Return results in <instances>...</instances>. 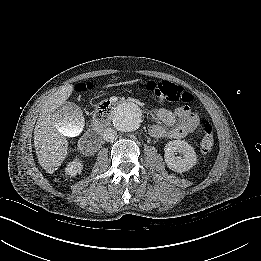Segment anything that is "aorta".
Returning a JSON list of instances; mask_svg holds the SVG:
<instances>
[{
  "mask_svg": "<svg viewBox=\"0 0 261 261\" xmlns=\"http://www.w3.org/2000/svg\"><path fill=\"white\" fill-rule=\"evenodd\" d=\"M143 119L140 107L133 102H124L113 113V124L121 132H134L139 129Z\"/></svg>",
  "mask_w": 261,
  "mask_h": 261,
  "instance_id": "762f6f07",
  "label": "aorta"
}]
</instances>
